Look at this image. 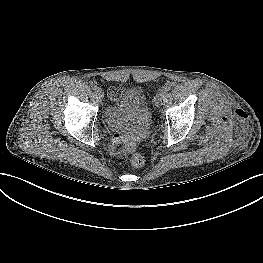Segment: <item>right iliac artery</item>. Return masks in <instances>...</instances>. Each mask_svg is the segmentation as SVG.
Here are the masks:
<instances>
[{
    "mask_svg": "<svg viewBox=\"0 0 263 263\" xmlns=\"http://www.w3.org/2000/svg\"><path fill=\"white\" fill-rule=\"evenodd\" d=\"M100 89V86L99 85H94L93 86V90H99Z\"/></svg>",
    "mask_w": 263,
    "mask_h": 263,
    "instance_id": "82829eb1",
    "label": "right iliac artery"
}]
</instances>
